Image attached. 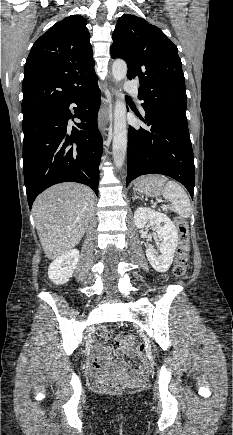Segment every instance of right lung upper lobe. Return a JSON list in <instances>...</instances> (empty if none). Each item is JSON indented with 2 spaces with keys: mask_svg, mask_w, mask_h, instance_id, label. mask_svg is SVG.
<instances>
[{
  "mask_svg": "<svg viewBox=\"0 0 233 435\" xmlns=\"http://www.w3.org/2000/svg\"><path fill=\"white\" fill-rule=\"evenodd\" d=\"M86 20L71 15L53 25L33 45L23 79V117L69 99L95 76Z\"/></svg>",
  "mask_w": 233,
  "mask_h": 435,
  "instance_id": "obj_1",
  "label": "right lung upper lobe"
}]
</instances>
